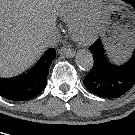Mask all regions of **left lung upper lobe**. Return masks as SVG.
<instances>
[{"label":"left lung upper lobe","instance_id":"1","mask_svg":"<svg viewBox=\"0 0 135 135\" xmlns=\"http://www.w3.org/2000/svg\"><path fill=\"white\" fill-rule=\"evenodd\" d=\"M123 1L129 3V2H131L132 0H123ZM133 1H135V0H133Z\"/></svg>","mask_w":135,"mask_h":135}]
</instances>
